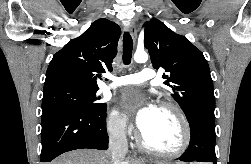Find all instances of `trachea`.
Listing matches in <instances>:
<instances>
[{
	"instance_id": "1",
	"label": "trachea",
	"mask_w": 251,
	"mask_h": 164,
	"mask_svg": "<svg viewBox=\"0 0 251 164\" xmlns=\"http://www.w3.org/2000/svg\"><path fill=\"white\" fill-rule=\"evenodd\" d=\"M133 50V40L128 32L124 33L123 36V63L128 65L131 63Z\"/></svg>"
}]
</instances>
